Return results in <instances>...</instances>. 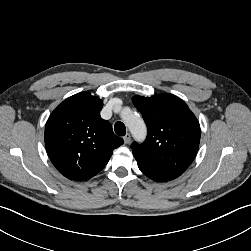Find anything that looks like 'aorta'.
<instances>
[{
	"label": "aorta",
	"instance_id": "1",
	"mask_svg": "<svg viewBox=\"0 0 251 251\" xmlns=\"http://www.w3.org/2000/svg\"><path fill=\"white\" fill-rule=\"evenodd\" d=\"M122 118L129 127L131 133L135 137H143L146 132V127L143 122V120L140 118V116L136 113H133L131 111L123 112Z\"/></svg>",
	"mask_w": 251,
	"mask_h": 251
}]
</instances>
